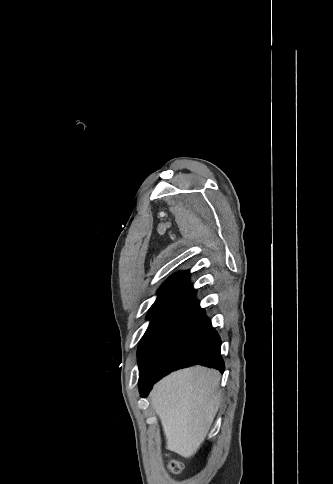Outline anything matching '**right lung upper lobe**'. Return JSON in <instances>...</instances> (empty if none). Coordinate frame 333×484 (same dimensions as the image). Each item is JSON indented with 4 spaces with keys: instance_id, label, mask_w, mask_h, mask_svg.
I'll return each mask as SVG.
<instances>
[{
    "instance_id": "1",
    "label": "right lung upper lobe",
    "mask_w": 333,
    "mask_h": 484,
    "mask_svg": "<svg viewBox=\"0 0 333 484\" xmlns=\"http://www.w3.org/2000/svg\"><path fill=\"white\" fill-rule=\"evenodd\" d=\"M188 272H179L171 276L159 289L155 304H160L180 290L190 285Z\"/></svg>"
}]
</instances>
